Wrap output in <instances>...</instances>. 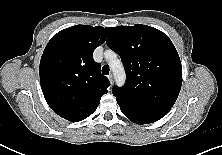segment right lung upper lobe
<instances>
[{"label":"right lung upper lobe","instance_id":"right-lung-upper-lobe-1","mask_svg":"<svg viewBox=\"0 0 222 155\" xmlns=\"http://www.w3.org/2000/svg\"><path fill=\"white\" fill-rule=\"evenodd\" d=\"M105 40L103 27L75 25L58 32L46 45L39 67L42 92L62 118L71 122L86 119L107 93L110 82L92 57Z\"/></svg>","mask_w":222,"mask_h":155}]
</instances>
